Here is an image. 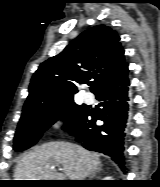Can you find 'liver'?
Masks as SVG:
<instances>
[{
    "instance_id": "obj_1",
    "label": "liver",
    "mask_w": 160,
    "mask_h": 187,
    "mask_svg": "<svg viewBox=\"0 0 160 187\" xmlns=\"http://www.w3.org/2000/svg\"><path fill=\"white\" fill-rule=\"evenodd\" d=\"M61 165L69 180H85L100 166L96 153L67 142H47L25 154L17 163L15 180H59ZM64 176V177H65Z\"/></svg>"
}]
</instances>
